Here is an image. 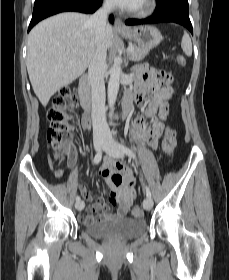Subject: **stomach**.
Segmentation results:
<instances>
[{
	"label": "stomach",
	"instance_id": "1",
	"mask_svg": "<svg viewBox=\"0 0 229 280\" xmlns=\"http://www.w3.org/2000/svg\"><path fill=\"white\" fill-rule=\"evenodd\" d=\"M122 36L134 41L143 49H153L162 40L160 31L149 25L130 28L127 32L122 33Z\"/></svg>",
	"mask_w": 229,
	"mask_h": 280
}]
</instances>
